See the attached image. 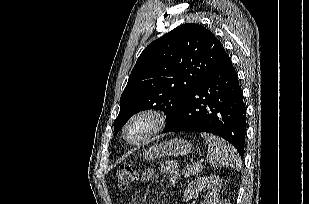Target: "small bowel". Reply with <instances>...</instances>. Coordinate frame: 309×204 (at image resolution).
<instances>
[{
  "mask_svg": "<svg viewBox=\"0 0 309 204\" xmlns=\"http://www.w3.org/2000/svg\"><path fill=\"white\" fill-rule=\"evenodd\" d=\"M163 171L166 173L172 182H176L179 177V166L175 161H168L163 166ZM155 175V171L151 168L146 169L143 174L144 180H149L153 178Z\"/></svg>",
  "mask_w": 309,
  "mask_h": 204,
  "instance_id": "obj_1",
  "label": "small bowel"
}]
</instances>
